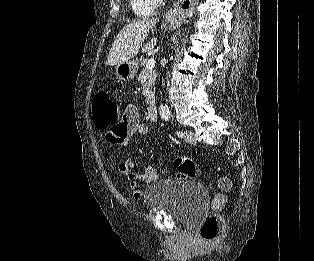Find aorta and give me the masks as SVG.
Segmentation results:
<instances>
[{
  "instance_id": "aorta-1",
  "label": "aorta",
  "mask_w": 314,
  "mask_h": 261,
  "mask_svg": "<svg viewBox=\"0 0 314 261\" xmlns=\"http://www.w3.org/2000/svg\"><path fill=\"white\" fill-rule=\"evenodd\" d=\"M160 115L163 117V118H168L169 115H170V112H169V109L166 105L164 104H161L160 105Z\"/></svg>"
}]
</instances>
